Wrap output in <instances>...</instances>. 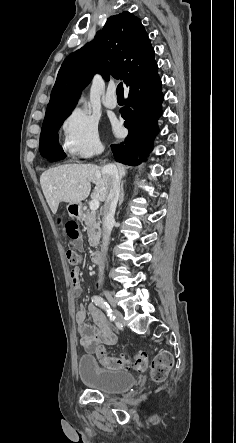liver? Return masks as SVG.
Instances as JSON below:
<instances>
[{
    "label": "liver",
    "mask_w": 236,
    "mask_h": 443,
    "mask_svg": "<svg viewBox=\"0 0 236 443\" xmlns=\"http://www.w3.org/2000/svg\"><path fill=\"white\" fill-rule=\"evenodd\" d=\"M117 167L121 179L126 175V166L118 164ZM91 183L95 184L92 199L105 201L108 195V179L103 176L100 166L67 164L48 169L40 177L43 194L53 214H56L60 202L80 204L89 196Z\"/></svg>",
    "instance_id": "obj_1"
}]
</instances>
